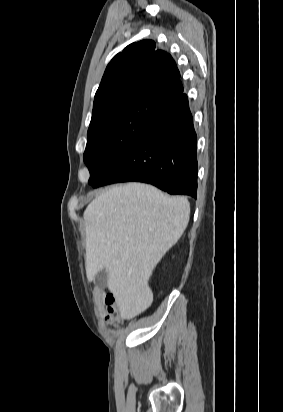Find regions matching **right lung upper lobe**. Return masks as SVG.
<instances>
[{
  "label": "right lung upper lobe",
  "mask_w": 283,
  "mask_h": 412,
  "mask_svg": "<svg viewBox=\"0 0 283 412\" xmlns=\"http://www.w3.org/2000/svg\"><path fill=\"white\" fill-rule=\"evenodd\" d=\"M154 49V41L143 40L111 60L95 94L90 123L132 106L164 109L183 92L172 57Z\"/></svg>",
  "instance_id": "1"
}]
</instances>
